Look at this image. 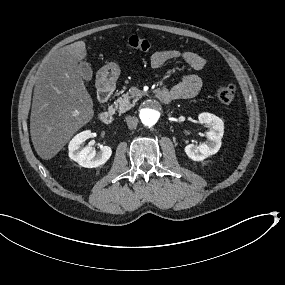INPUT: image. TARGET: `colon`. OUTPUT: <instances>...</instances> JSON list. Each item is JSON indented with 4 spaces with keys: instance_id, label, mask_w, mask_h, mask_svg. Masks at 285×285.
<instances>
[{
    "instance_id": "5ec220e1",
    "label": "colon",
    "mask_w": 285,
    "mask_h": 285,
    "mask_svg": "<svg viewBox=\"0 0 285 285\" xmlns=\"http://www.w3.org/2000/svg\"><path fill=\"white\" fill-rule=\"evenodd\" d=\"M126 45L132 49L139 50L142 52H147L151 48V44L147 39L137 35L130 36L126 40ZM236 92V86L234 84L229 83L220 85L217 88L216 95L218 100L222 104H230L234 101L236 97Z\"/></svg>"
}]
</instances>
